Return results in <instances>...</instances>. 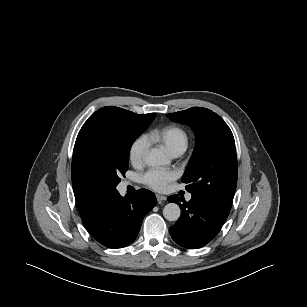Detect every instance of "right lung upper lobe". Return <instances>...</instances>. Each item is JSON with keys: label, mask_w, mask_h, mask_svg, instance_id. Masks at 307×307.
Segmentation results:
<instances>
[{"label": "right lung upper lobe", "mask_w": 307, "mask_h": 307, "mask_svg": "<svg viewBox=\"0 0 307 307\" xmlns=\"http://www.w3.org/2000/svg\"><path fill=\"white\" fill-rule=\"evenodd\" d=\"M102 111H115V112H120L124 114L138 115L131 111H128L122 108H118V107H114V106L103 107L99 109L98 111H96L93 115L99 112H102ZM151 114L153 113L140 115V116H149ZM72 184H73V191H74L76 203L80 211L82 221L85 225H88L92 222L95 215L99 211L100 207L110 197V195L95 194L87 190L86 188H84L78 182L73 169H72Z\"/></svg>", "instance_id": "right-lung-upper-lobe-1"}]
</instances>
